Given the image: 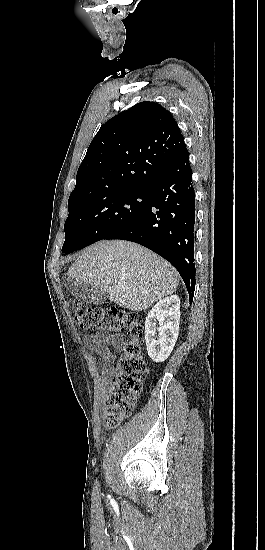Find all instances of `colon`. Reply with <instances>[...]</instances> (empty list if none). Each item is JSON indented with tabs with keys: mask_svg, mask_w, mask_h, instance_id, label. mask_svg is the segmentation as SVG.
Masks as SVG:
<instances>
[{
	"mask_svg": "<svg viewBox=\"0 0 265 550\" xmlns=\"http://www.w3.org/2000/svg\"><path fill=\"white\" fill-rule=\"evenodd\" d=\"M72 310L76 323L84 330L130 336L114 363L105 397V422L116 427L133 413L146 376L139 343L143 335L140 317L135 312L92 307L78 299L72 301Z\"/></svg>",
	"mask_w": 265,
	"mask_h": 550,
	"instance_id": "5ec220e1",
	"label": "colon"
}]
</instances>
